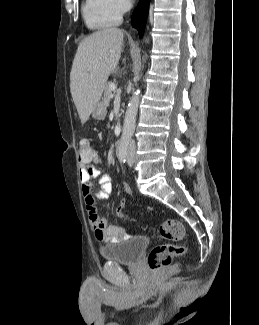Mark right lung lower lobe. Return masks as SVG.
<instances>
[{
	"label": "right lung lower lobe",
	"mask_w": 259,
	"mask_h": 325,
	"mask_svg": "<svg viewBox=\"0 0 259 325\" xmlns=\"http://www.w3.org/2000/svg\"><path fill=\"white\" fill-rule=\"evenodd\" d=\"M150 0H140L137 8L132 15V26L139 31L140 37L143 36L147 20Z\"/></svg>",
	"instance_id": "right-lung-lower-lobe-1"
}]
</instances>
